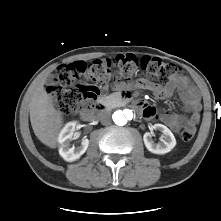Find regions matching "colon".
<instances>
[{"label":"colon","mask_w":221,"mask_h":221,"mask_svg":"<svg viewBox=\"0 0 221 221\" xmlns=\"http://www.w3.org/2000/svg\"><path fill=\"white\" fill-rule=\"evenodd\" d=\"M145 71L154 85H168L182 75L175 64L159 58L134 56L97 59L87 64L75 61L62 65L48 94L54 105L63 113L71 114L87 107L98 95L97 84L107 80L111 74L116 78ZM195 129L187 127L181 132L183 141H190Z\"/></svg>","instance_id":"1"}]
</instances>
